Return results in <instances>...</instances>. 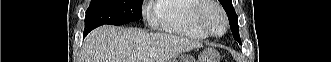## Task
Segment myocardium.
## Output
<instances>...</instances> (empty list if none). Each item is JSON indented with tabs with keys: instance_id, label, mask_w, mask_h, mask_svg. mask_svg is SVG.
I'll list each match as a JSON object with an SVG mask.
<instances>
[{
	"instance_id": "1",
	"label": "myocardium",
	"mask_w": 331,
	"mask_h": 62,
	"mask_svg": "<svg viewBox=\"0 0 331 62\" xmlns=\"http://www.w3.org/2000/svg\"><path fill=\"white\" fill-rule=\"evenodd\" d=\"M210 10H216L223 22V29L220 33L215 32L211 26L208 24L207 21V13ZM195 21L197 25L208 35L214 36V37H220L225 34L228 28V18L227 15L224 11V9L215 1H210V0H203L202 5L197 9L196 14H195Z\"/></svg>"
}]
</instances>
